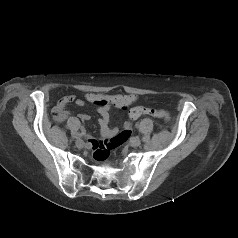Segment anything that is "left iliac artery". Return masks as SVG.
Segmentation results:
<instances>
[{"mask_svg": "<svg viewBox=\"0 0 238 238\" xmlns=\"http://www.w3.org/2000/svg\"><path fill=\"white\" fill-rule=\"evenodd\" d=\"M151 140V137L149 135H146L144 138H143V141H146V142H149Z\"/></svg>", "mask_w": 238, "mask_h": 238, "instance_id": "obj_1", "label": "left iliac artery"}]
</instances>
